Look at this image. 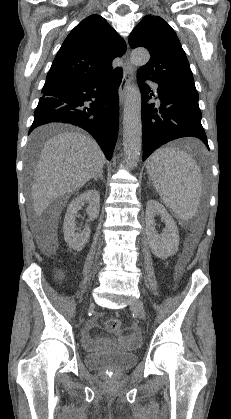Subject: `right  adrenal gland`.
<instances>
[{
	"label": "right adrenal gland",
	"instance_id": "1",
	"mask_svg": "<svg viewBox=\"0 0 231 419\" xmlns=\"http://www.w3.org/2000/svg\"><path fill=\"white\" fill-rule=\"evenodd\" d=\"M98 178H100L101 180H103V179H104V178H103V171H100V172H99V174H98L97 176H95L93 180H94V181H97V180H98Z\"/></svg>",
	"mask_w": 231,
	"mask_h": 419
}]
</instances>
